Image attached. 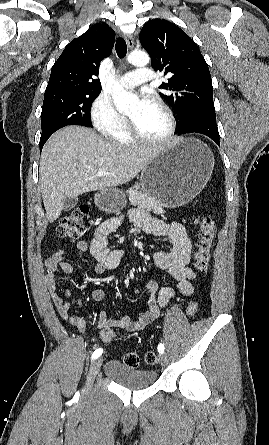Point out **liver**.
<instances>
[{
    "instance_id": "liver-1",
    "label": "liver",
    "mask_w": 269,
    "mask_h": 445,
    "mask_svg": "<svg viewBox=\"0 0 269 445\" xmlns=\"http://www.w3.org/2000/svg\"><path fill=\"white\" fill-rule=\"evenodd\" d=\"M163 149L107 142L94 130L68 126L52 135L40 160V188L46 216L57 220L66 197L125 184ZM109 173L97 176L99 170Z\"/></svg>"
}]
</instances>
